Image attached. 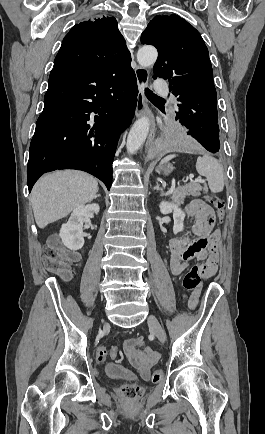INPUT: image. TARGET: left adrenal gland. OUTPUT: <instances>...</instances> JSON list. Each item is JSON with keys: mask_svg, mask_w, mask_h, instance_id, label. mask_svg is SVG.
I'll return each instance as SVG.
<instances>
[{"mask_svg": "<svg viewBox=\"0 0 265 434\" xmlns=\"http://www.w3.org/2000/svg\"><path fill=\"white\" fill-rule=\"evenodd\" d=\"M154 190H160V192H161V194H162V196H163V194H164V192H163V188H159V184H158V182H156V186H155Z\"/></svg>", "mask_w": 265, "mask_h": 434, "instance_id": "a2214340", "label": "left adrenal gland"}]
</instances>
